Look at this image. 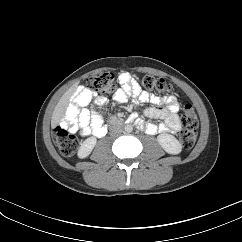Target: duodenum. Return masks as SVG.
<instances>
[{"label": "duodenum", "instance_id": "1", "mask_svg": "<svg viewBox=\"0 0 242 242\" xmlns=\"http://www.w3.org/2000/svg\"><path fill=\"white\" fill-rule=\"evenodd\" d=\"M120 124V121L118 119H113L112 120V125H119ZM102 135H105L106 134V128L105 130L102 131L101 133Z\"/></svg>", "mask_w": 242, "mask_h": 242}]
</instances>
